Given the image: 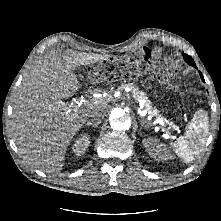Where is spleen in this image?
<instances>
[{
	"mask_svg": "<svg viewBox=\"0 0 221 221\" xmlns=\"http://www.w3.org/2000/svg\"><path fill=\"white\" fill-rule=\"evenodd\" d=\"M209 132L207 113L199 110L186 127L184 136L179 137L171 146L186 163L192 162L203 150Z\"/></svg>",
	"mask_w": 221,
	"mask_h": 221,
	"instance_id": "3e777b00",
	"label": "spleen"
}]
</instances>
